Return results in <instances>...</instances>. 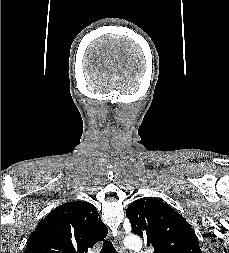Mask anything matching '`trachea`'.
Listing matches in <instances>:
<instances>
[{
    "mask_svg": "<svg viewBox=\"0 0 229 253\" xmlns=\"http://www.w3.org/2000/svg\"><path fill=\"white\" fill-rule=\"evenodd\" d=\"M100 253H117L111 241L104 240Z\"/></svg>",
    "mask_w": 229,
    "mask_h": 253,
    "instance_id": "3493384b",
    "label": "trachea"
}]
</instances>
